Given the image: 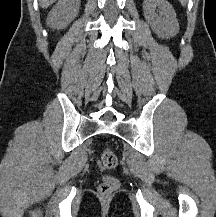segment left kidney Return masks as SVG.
<instances>
[{"label":"left kidney","instance_id":"5707ae66","mask_svg":"<svg viewBox=\"0 0 216 217\" xmlns=\"http://www.w3.org/2000/svg\"><path fill=\"white\" fill-rule=\"evenodd\" d=\"M159 9V15L155 12ZM144 16L152 30L161 38L175 36L179 24L172 5L166 0H144Z\"/></svg>","mask_w":216,"mask_h":217}]
</instances>
